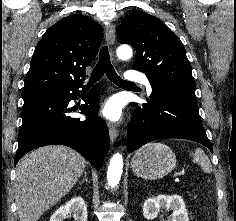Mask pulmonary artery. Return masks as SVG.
Listing matches in <instances>:
<instances>
[{
    "label": "pulmonary artery",
    "mask_w": 236,
    "mask_h": 221,
    "mask_svg": "<svg viewBox=\"0 0 236 221\" xmlns=\"http://www.w3.org/2000/svg\"><path fill=\"white\" fill-rule=\"evenodd\" d=\"M126 78L130 81H134V82H138L143 84L148 92L152 91V87L150 84V81L148 80V78L143 75V74H139V75H130V74H126Z\"/></svg>",
    "instance_id": "pulmonary-artery-1"
}]
</instances>
